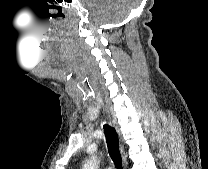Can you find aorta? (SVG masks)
Returning <instances> with one entry per match:
<instances>
[{
  "label": "aorta",
  "mask_w": 208,
  "mask_h": 169,
  "mask_svg": "<svg viewBox=\"0 0 208 169\" xmlns=\"http://www.w3.org/2000/svg\"><path fill=\"white\" fill-rule=\"evenodd\" d=\"M96 168V160L94 158H91L87 160L82 169H95Z\"/></svg>",
  "instance_id": "obj_1"
}]
</instances>
